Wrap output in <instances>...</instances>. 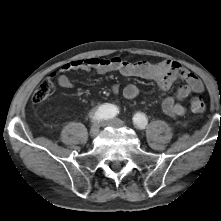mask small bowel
<instances>
[{
    "label": "small bowel",
    "mask_w": 221,
    "mask_h": 221,
    "mask_svg": "<svg viewBox=\"0 0 221 221\" xmlns=\"http://www.w3.org/2000/svg\"><path fill=\"white\" fill-rule=\"evenodd\" d=\"M75 71H94L101 75L119 72L124 76L153 81L161 91H167L176 81H183L185 84L178 88L175 96H169L162 102L163 112L170 117L183 116L186 113V106L183 101L191 93H202L204 91L202 81L195 74L179 63L169 60L151 62L147 60L128 61L118 56L110 59L93 57L68 62L62 65L57 73H53L52 77L57 78L60 87L70 89L73 87V83L68 74ZM112 90L116 94L121 93L128 100H133L139 94V89L134 84H128L123 88L115 84Z\"/></svg>",
    "instance_id": "c3829d8e"
}]
</instances>
